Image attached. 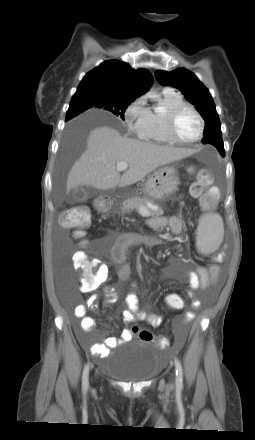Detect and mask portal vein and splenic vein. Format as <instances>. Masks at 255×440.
I'll return each instance as SVG.
<instances>
[{"mask_svg": "<svg viewBox=\"0 0 255 440\" xmlns=\"http://www.w3.org/2000/svg\"><path fill=\"white\" fill-rule=\"evenodd\" d=\"M128 168V164L126 162H119L116 166V169L118 171H125ZM140 214L144 217L149 216V212L145 207H140L139 208Z\"/></svg>", "mask_w": 255, "mask_h": 440, "instance_id": "portal-vein-and-splenic-vein-1", "label": "portal vein and splenic vein"}]
</instances>
